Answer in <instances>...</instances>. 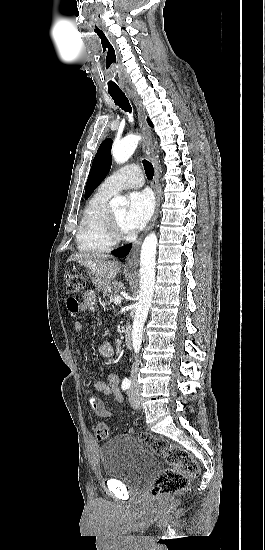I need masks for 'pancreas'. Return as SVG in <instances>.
<instances>
[{
    "label": "pancreas",
    "mask_w": 265,
    "mask_h": 550,
    "mask_svg": "<svg viewBox=\"0 0 265 550\" xmlns=\"http://www.w3.org/2000/svg\"><path fill=\"white\" fill-rule=\"evenodd\" d=\"M122 285L118 282H112L108 287L103 290V296L108 299L109 302L113 300L115 296H119V291Z\"/></svg>",
    "instance_id": "pancreas-1"
}]
</instances>
